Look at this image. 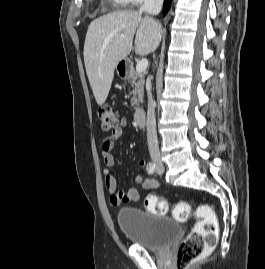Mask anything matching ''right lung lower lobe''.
Returning <instances> with one entry per match:
<instances>
[{
	"instance_id": "obj_1",
	"label": "right lung lower lobe",
	"mask_w": 265,
	"mask_h": 269,
	"mask_svg": "<svg viewBox=\"0 0 265 269\" xmlns=\"http://www.w3.org/2000/svg\"><path fill=\"white\" fill-rule=\"evenodd\" d=\"M171 1L172 0H165L164 8H163V15H165L170 9Z\"/></svg>"
}]
</instances>
